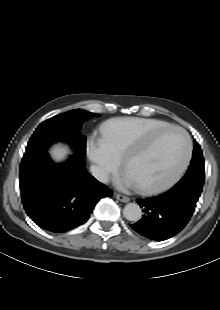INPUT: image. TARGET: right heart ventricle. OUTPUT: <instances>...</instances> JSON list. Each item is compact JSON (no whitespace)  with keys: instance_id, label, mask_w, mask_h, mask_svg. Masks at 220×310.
<instances>
[{"instance_id":"e07e8e85","label":"right heart ventricle","mask_w":220,"mask_h":310,"mask_svg":"<svg viewBox=\"0 0 220 310\" xmlns=\"http://www.w3.org/2000/svg\"><path fill=\"white\" fill-rule=\"evenodd\" d=\"M148 125L151 127H154V126H157L158 124L157 123H149Z\"/></svg>"}]
</instances>
